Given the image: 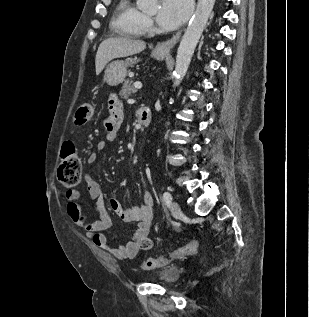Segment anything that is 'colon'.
Masks as SVG:
<instances>
[{
    "label": "colon",
    "mask_w": 309,
    "mask_h": 317,
    "mask_svg": "<svg viewBox=\"0 0 309 317\" xmlns=\"http://www.w3.org/2000/svg\"><path fill=\"white\" fill-rule=\"evenodd\" d=\"M93 113V107L91 104L82 105L76 113V122L79 125L85 124ZM82 175V164L79 156L76 154L75 146L73 142L66 141L63 143L61 150V162L57 170V176L60 183L66 188H74L80 182ZM198 241L193 240L186 247H184L180 253L191 252L198 248ZM151 246V241L148 238H144L140 241L139 247L142 249H148ZM158 257L148 259L145 261L146 267H155L163 262H156Z\"/></svg>",
    "instance_id": "colon-1"
}]
</instances>
